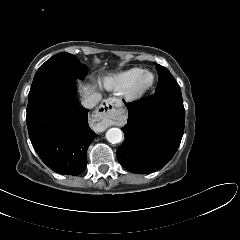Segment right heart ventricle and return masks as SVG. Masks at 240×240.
I'll return each mask as SVG.
<instances>
[{"instance_id":"e07e8e85","label":"right heart ventricle","mask_w":240,"mask_h":240,"mask_svg":"<svg viewBox=\"0 0 240 240\" xmlns=\"http://www.w3.org/2000/svg\"><path fill=\"white\" fill-rule=\"evenodd\" d=\"M142 68L134 67L120 73L108 76L104 79V86L114 91H122L129 88L132 83L144 72Z\"/></svg>"}]
</instances>
